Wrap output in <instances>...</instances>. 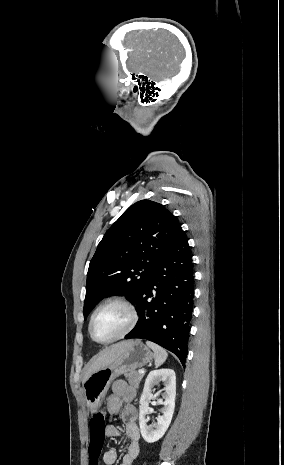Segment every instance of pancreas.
I'll return each instance as SVG.
<instances>
[{
	"instance_id": "obj_1",
	"label": "pancreas",
	"mask_w": 284,
	"mask_h": 465,
	"mask_svg": "<svg viewBox=\"0 0 284 465\" xmlns=\"http://www.w3.org/2000/svg\"><path fill=\"white\" fill-rule=\"evenodd\" d=\"M126 379H128L129 385L139 389V383L144 377V373H138V371H131V373H124Z\"/></svg>"
}]
</instances>
